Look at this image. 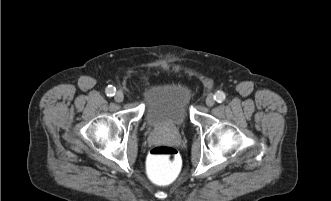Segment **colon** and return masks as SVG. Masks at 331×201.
Returning a JSON list of instances; mask_svg holds the SVG:
<instances>
[{
  "mask_svg": "<svg viewBox=\"0 0 331 201\" xmlns=\"http://www.w3.org/2000/svg\"><path fill=\"white\" fill-rule=\"evenodd\" d=\"M147 174L157 185H169L180 175L182 161L178 151L171 146L159 145L153 147L147 157Z\"/></svg>",
  "mask_w": 331,
  "mask_h": 201,
  "instance_id": "5ec220e1",
  "label": "colon"
}]
</instances>
